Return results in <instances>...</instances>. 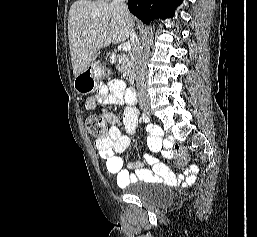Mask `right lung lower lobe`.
<instances>
[{"label": "right lung lower lobe", "instance_id": "1", "mask_svg": "<svg viewBox=\"0 0 257 237\" xmlns=\"http://www.w3.org/2000/svg\"><path fill=\"white\" fill-rule=\"evenodd\" d=\"M183 0H128V8L143 23L149 24L155 18L172 17L174 9Z\"/></svg>", "mask_w": 257, "mask_h": 237}]
</instances>
